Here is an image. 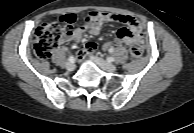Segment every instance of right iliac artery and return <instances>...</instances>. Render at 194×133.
Wrapping results in <instances>:
<instances>
[{"label":"right iliac artery","instance_id":"1","mask_svg":"<svg viewBox=\"0 0 194 133\" xmlns=\"http://www.w3.org/2000/svg\"><path fill=\"white\" fill-rule=\"evenodd\" d=\"M68 60H69L70 62H74V57H73V56H70Z\"/></svg>","mask_w":194,"mask_h":133}]
</instances>
